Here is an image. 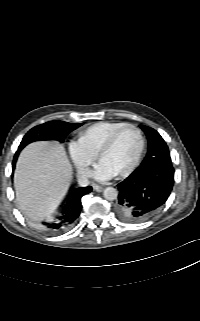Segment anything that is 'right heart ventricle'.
I'll list each match as a JSON object with an SVG mask.
<instances>
[{
    "label": "right heart ventricle",
    "mask_w": 200,
    "mask_h": 321,
    "mask_svg": "<svg viewBox=\"0 0 200 321\" xmlns=\"http://www.w3.org/2000/svg\"><path fill=\"white\" fill-rule=\"evenodd\" d=\"M127 123L119 121L96 122L79 132V141L93 154L97 155L101 146L117 130Z\"/></svg>",
    "instance_id": "obj_1"
}]
</instances>
